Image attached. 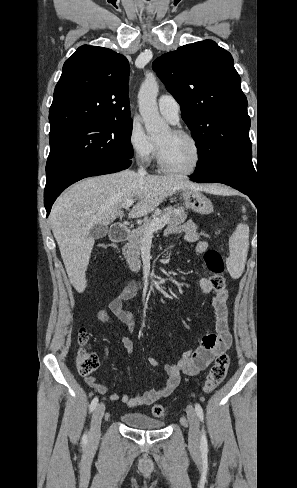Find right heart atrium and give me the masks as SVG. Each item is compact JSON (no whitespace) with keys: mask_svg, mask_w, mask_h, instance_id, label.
I'll list each match as a JSON object with an SVG mask.
<instances>
[{"mask_svg":"<svg viewBox=\"0 0 297 488\" xmlns=\"http://www.w3.org/2000/svg\"><path fill=\"white\" fill-rule=\"evenodd\" d=\"M133 155L141 162H148L156 152V144L146 134L140 119L132 120L127 136Z\"/></svg>","mask_w":297,"mask_h":488,"instance_id":"d8ad5b80","label":"right heart atrium"}]
</instances>
